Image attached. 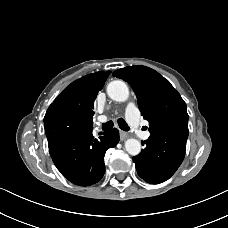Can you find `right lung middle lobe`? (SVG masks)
<instances>
[{
  "mask_svg": "<svg viewBox=\"0 0 228 228\" xmlns=\"http://www.w3.org/2000/svg\"><path fill=\"white\" fill-rule=\"evenodd\" d=\"M44 126L48 145L55 144L86 129L78 116L68 112L45 115Z\"/></svg>",
  "mask_w": 228,
  "mask_h": 228,
  "instance_id": "obj_1",
  "label": "right lung middle lobe"
}]
</instances>
